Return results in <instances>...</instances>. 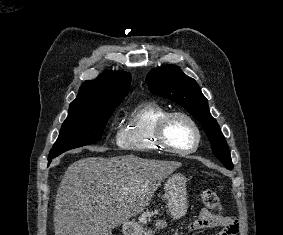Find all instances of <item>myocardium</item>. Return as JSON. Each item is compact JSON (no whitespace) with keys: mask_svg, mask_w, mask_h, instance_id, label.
Here are the masks:
<instances>
[{"mask_svg":"<svg viewBox=\"0 0 283 235\" xmlns=\"http://www.w3.org/2000/svg\"><path fill=\"white\" fill-rule=\"evenodd\" d=\"M174 118H182L186 120L193 128L195 132V143L191 148L188 149H177L174 148L173 146L170 145V143L167 140L166 137V129L170 121ZM155 137L157 143L160 145V147L172 154H177V155H188L193 152H195L200 143H201V130L199 128V125L195 121V119L189 115L186 112L182 111H171L168 112L166 115H164L158 122L157 127L155 129Z\"/></svg>","mask_w":283,"mask_h":235,"instance_id":"f54148a6","label":"myocardium"}]
</instances>
